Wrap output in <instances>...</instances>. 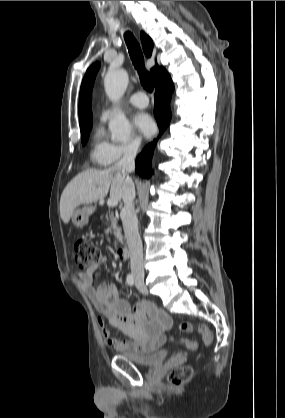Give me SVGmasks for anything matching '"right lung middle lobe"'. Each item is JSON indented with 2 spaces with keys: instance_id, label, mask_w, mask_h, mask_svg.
<instances>
[{
  "instance_id": "right-lung-middle-lobe-1",
  "label": "right lung middle lobe",
  "mask_w": 285,
  "mask_h": 418,
  "mask_svg": "<svg viewBox=\"0 0 285 418\" xmlns=\"http://www.w3.org/2000/svg\"><path fill=\"white\" fill-rule=\"evenodd\" d=\"M91 126L92 125L90 124V125H87V126H85L83 128H80L81 129V139H82V144L83 145H85L86 142H87V138H88V135H89V131L91 129Z\"/></svg>"
}]
</instances>
